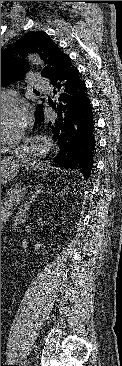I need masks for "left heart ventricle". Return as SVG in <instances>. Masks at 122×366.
Returning <instances> with one entry per match:
<instances>
[{
    "label": "left heart ventricle",
    "mask_w": 122,
    "mask_h": 366,
    "mask_svg": "<svg viewBox=\"0 0 122 366\" xmlns=\"http://www.w3.org/2000/svg\"><path fill=\"white\" fill-rule=\"evenodd\" d=\"M13 116L15 117L14 119H18L17 115H10L8 113L4 114V117L1 118V137H6L11 129L17 124L14 122V119H12Z\"/></svg>",
    "instance_id": "obj_1"
}]
</instances>
